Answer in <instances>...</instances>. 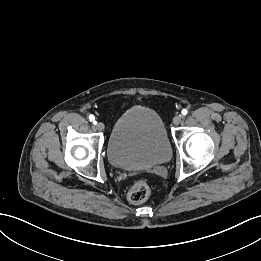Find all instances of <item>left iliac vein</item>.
Wrapping results in <instances>:
<instances>
[{
  "instance_id": "1",
  "label": "left iliac vein",
  "mask_w": 261,
  "mask_h": 261,
  "mask_svg": "<svg viewBox=\"0 0 261 261\" xmlns=\"http://www.w3.org/2000/svg\"><path fill=\"white\" fill-rule=\"evenodd\" d=\"M183 120V116L182 115H176L174 118H173V123L175 125H179Z\"/></svg>"
}]
</instances>
